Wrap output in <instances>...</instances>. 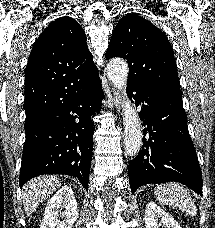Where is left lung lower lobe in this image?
Returning <instances> with one entry per match:
<instances>
[{"label": "left lung lower lobe", "instance_id": "left-lung-lower-lobe-1", "mask_svg": "<svg viewBox=\"0 0 215 228\" xmlns=\"http://www.w3.org/2000/svg\"><path fill=\"white\" fill-rule=\"evenodd\" d=\"M128 96L141 105L140 119L149 139L128 166L132 193L150 183L180 182L202 196V173L188 133L182 92L127 85Z\"/></svg>", "mask_w": 215, "mask_h": 228}]
</instances>
